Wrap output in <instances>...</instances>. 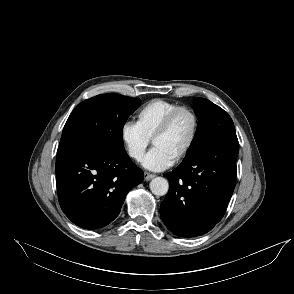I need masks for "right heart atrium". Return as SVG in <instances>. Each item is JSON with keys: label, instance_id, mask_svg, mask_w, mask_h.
I'll use <instances>...</instances> for the list:
<instances>
[{"label": "right heart atrium", "instance_id": "1", "mask_svg": "<svg viewBox=\"0 0 294 294\" xmlns=\"http://www.w3.org/2000/svg\"><path fill=\"white\" fill-rule=\"evenodd\" d=\"M120 140L127 155L134 161L142 160L150 144V138L133 121L123 123L120 128Z\"/></svg>", "mask_w": 294, "mask_h": 294}]
</instances>
